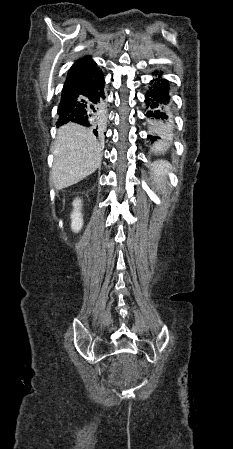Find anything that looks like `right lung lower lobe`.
Here are the masks:
<instances>
[{
	"mask_svg": "<svg viewBox=\"0 0 233 449\" xmlns=\"http://www.w3.org/2000/svg\"><path fill=\"white\" fill-rule=\"evenodd\" d=\"M104 76L96 63L79 77L66 81L58 108V124L76 122L91 128L96 136L106 134Z\"/></svg>",
	"mask_w": 233,
	"mask_h": 449,
	"instance_id": "1",
	"label": "right lung lower lobe"
}]
</instances>
